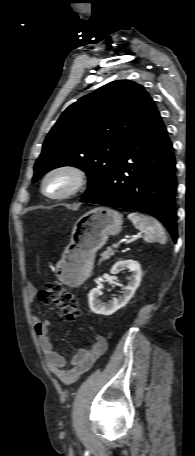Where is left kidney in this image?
<instances>
[{"label":"left kidney","instance_id":"5707ae66","mask_svg":"<svg viewBox=\"0 0 195 456\" xmlns=\"http://www.w3.org/2000/svg\"><path fill=\"white\" fill-rule=\"evenodd\" d=\"M123 268H128L129 271L132 272L128 285L124 287L123 295L119 298H113L109 304H105L98 299V297L102 294L101 290L98 288L92 289L88 295L89 307L92 312L105 316L112 315L117 310L124 307L133 297L141 282V266L134 260L119 261L115 263L110 272L111 274H116Z\"/></svg>","mask_w":195,"mask_h":456}]
</instances>
